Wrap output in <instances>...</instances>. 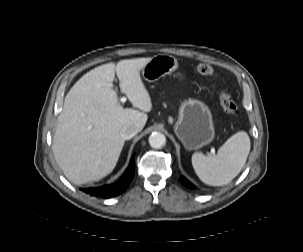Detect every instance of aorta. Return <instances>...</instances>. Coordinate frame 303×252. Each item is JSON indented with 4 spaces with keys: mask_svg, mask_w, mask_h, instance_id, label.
<instances>
[{
    "mask_svg": "<svg viewBox=\"0 0 303 252\" xmlns=\"http://www.w3.org/2000/svg\"><path fill=\"white\" fill-rule=\"evenodd\" d=\"M149 144L151 147L156 148V149H160L162 148L165 143H166V137L164 134L160 133V132H153L150 136H149Z\"/></svg>",
    "mask_w": 303,
    "mask_h": 252,
    "instance_id": "obj_1",
    "label": "aorta"
}]
</instances>
